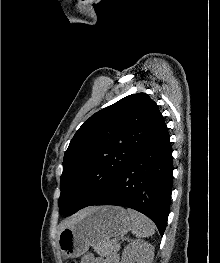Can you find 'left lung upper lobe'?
Instances as JSON below:
<instances>
[{"instance_id": "obj_1", "label": "left lung upper lobe", "mask_w": 220, "mask_h": 263, "mask_svg": "<svg viewBox=\"0 0 220 263\" xmlns=\"http://www.w3.org/2000/svg\"><path fill=\"white\" fill-rule=\"evenodd\" d=\"M163 124L158 105L145 93L126 96L92 115L64 154L60 213L73 214L106 191Z\"/></svg>"}]
</instances>
